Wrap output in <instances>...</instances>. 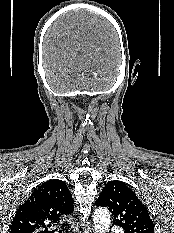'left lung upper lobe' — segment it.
Segmentation results:
<instances>
[{
    "label": "left lung upper lobe",
    "instance_id": "left-lung-upper-lobe-1",
    "mask_svg": "<svg viewBox=\"0 0 174 233\" xmlns=\"http://www.w3.org/2000/svg\"><path fill=\"white\" fill-rule=\"evenodd\" d=\"M97 207H107L113 215V225L124 233H154V223L136 194L123 182H108L96 200Z\"/></svg>",
    "mask_w": 174,
    "mask_h": 233
}]
</instances>
